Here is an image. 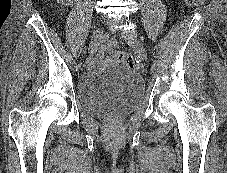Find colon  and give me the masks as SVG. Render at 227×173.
Here are the masks:
<instances>
[{"label": "colon", "mask_w": 227, "mask_h": 173, "mask_svg": "<svg viewBox=\"0 0 227 173\" xmlns=\"http://www.w3.org/2000/svg\"><path fill=\"white\" fill-rule=\"evenodd\" d=\"M186 2L193 6H199L206 2V0H186ZM108 50L114 55L115 58L122 61L130 68L137 66L136 59L130 53L120 51L116 41H110L108 43Z\"/></svg>", "instance_id": "1"}]
</instances>
